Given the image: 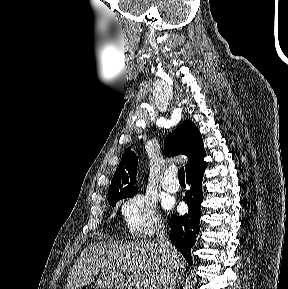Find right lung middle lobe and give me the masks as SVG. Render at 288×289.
Segmentation results:
<instances>
[{
  "label": "right lung middle lobe",
  "instance_id": "obj_1",
  "mask_svg": "<svg viewBox=\"0 0 288 289\" xmlns=\"http://www.w3.org/2000/svg\"><path fill=\"white\" fill-rule=\"evenodd\" d=\"M137 191L138 189L111 191L109 192V203L115 206L119 200L136 195Z\"/></svg>",
  "mask_w": 288,
  "mask_h": 289
}]
</instances>
